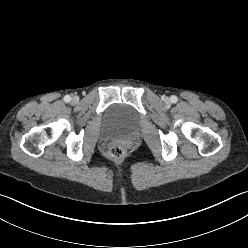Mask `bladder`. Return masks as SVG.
<instances>
[{"instance_id": "bladder-1", "label": "bladder", "mask_w": 248, "mask_h": 248, "mask_svg": "<svg viewBox=\"0 0 248 248\" xmlns=\"http://www.w3.org/2000/svg\"><path fill=\"white\" fill-rule=\"evenodd\" d=\"M103 124L111 134L128 132L137 126L138 115L124 104H113L104 112Z\"/></svg>"}]
</instances>
